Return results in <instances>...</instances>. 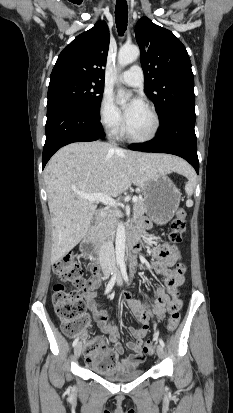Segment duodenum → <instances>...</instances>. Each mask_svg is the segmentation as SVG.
I'll return each instance as SVG.
<instances>
[{"instance_id": "duodenum-1", "label": "duodenum", "mask_w": 233, "mask_h": 413, "mask_svg": "<svg viewBox=\"0 0 233 413\" xmlns=\"http://www.w3.org/2000/svg\"><path fill=\"white\" fill-rule=\"evenodd\" d=\"M128 246L130 248L129 266L134 269L137 266V253L139 250L138 238L136 235L131 234L127 239ZM81 251L90 259L94 261L100 260V248L94 239V229H88L80 243Z\"/></svg>"}]
</instances>
